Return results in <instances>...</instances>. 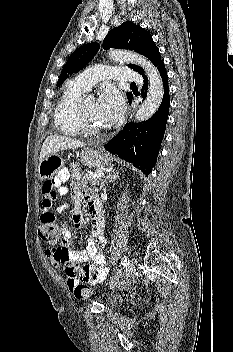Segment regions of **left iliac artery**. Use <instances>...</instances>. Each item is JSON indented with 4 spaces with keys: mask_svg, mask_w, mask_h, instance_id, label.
Wrapping results in <instances>:
<instances>
[{
    "mask_svg": "<svg viewBox=\"0 0 233 352\" xmlns=\"http://www.w3.org/2000/svg\"><path fill=\"white\" fill-rule=\"evenodd\" d=\"M121 264L124 265V266H128V265H129V259H128V257L124 256V257L121 259Z\"/></svg>",
    "mask_w": 233,
    "mask_h": 352,
    "instance_id": "44dca946",
    "label": "left iliac artery"
}]
</instances>
